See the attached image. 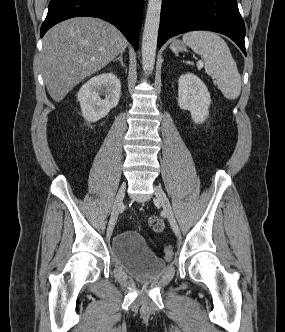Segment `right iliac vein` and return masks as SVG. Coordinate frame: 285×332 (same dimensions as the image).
I'll return each instance as SVG.
<instances>
[{
    "label": "right iliac vein",
    "instance_id": "1",
    "mask_svg": "<svg viewBox=\"0 0 285 332\" xmlns=\"http://www.w3.org/2000/svg\"><path fill=\"white\" fill-rule=\"evenodd\" d=\"M125 189H126V185H125V183H123L117 192V195H116V198L114 201V205H113V209H112V213H111V217H110L109 224L107 227V236H110L112 234L115 221L118 217L119 211L123 204V199L125 196Z\"/></svg>",
    "mask_w": 285,
    "mask_h": 332
}]
</instances>
